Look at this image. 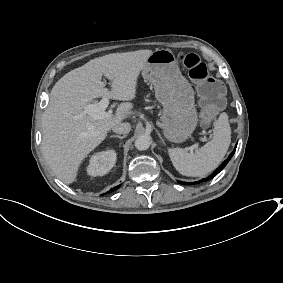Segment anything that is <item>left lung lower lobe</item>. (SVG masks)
Returning a JSON list of instances; mask_svg holds the SVG:
<instances>
[{
    "label": "left lung lower lobe",
    "instance_id": "0a47b994",
    "mask_svg": "<svg viewBox=\"0 0 283 283\" xmlns=\"http://www.w3.org/2000/svg\"><path fill=\"white\" fill-rule=\"evenodd\" d=\"M236 147H237V144L235 146V149L234 151L229 155V157L222 163L221 166H219L209 177L205 178V179H202L200 181H197V182H192V183H187V182H180L181 184H184V185H193V184H198V183H201V182H206L212 178H214L226 165L227 163L229 162V160L231 159V157L233 156V154L235 153V150H236Z\"/></svg>",
    "mask_w": 283,
    "mask_h": 283
}]
</instances>
